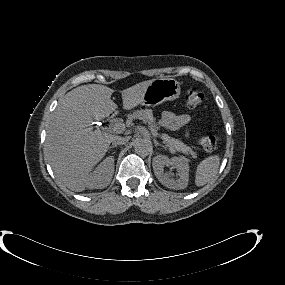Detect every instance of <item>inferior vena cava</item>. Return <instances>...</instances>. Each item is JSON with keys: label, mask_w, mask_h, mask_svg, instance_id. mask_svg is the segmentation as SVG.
<instances>
[{"label": "inferior vena cava", "mask_w": 285, "mask_h": 285, "mask_svg": "<svg viewBox=\"0 0 285 285\" xmlns=\"http://www.w3.org/2000/svg\"><path fill=\"white\" fill-rule=\"evenodd\" d=\"M128 138L127 137H118V136H116L115 138H114V140H113V145H123V144H125V143H127L128 142Z\"/></svg>", "instance_id": "1"}]
</instances>
